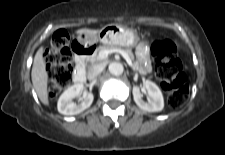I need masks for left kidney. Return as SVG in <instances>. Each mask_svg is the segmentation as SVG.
Wrapping results in <instances>:
<instances>
[{
	"label": "left kidney",
	"mask_w": 225,
	"mask_h": 155,
	"mask_svg": "<svg viewBox=\"0 0 225 155\" xmlns=\"http://www.w3.org/2000/svg\"><path fill=\"white\" fill-rule=\"evenodd\" d=\"M143 89L148 94V102L143 101L140 88L137 86L133 87V98L139 108L148 112L162 111L164 108V99L159 87L154 82L146 80L143 84Z\"/></svg>",
	"instance_id": "5707ae66"
}]
</instances>
